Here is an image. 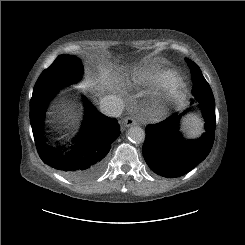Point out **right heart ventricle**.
I'll use <instances>...</instances> for the list:
<instances>
[{"label":"right heart ventricle","instance_id":"right-heart-ventricle-1","mask_svg":"<svg viewBox=\"0 0 245 245\" xmlns=\"http://www.w3.org/2000/svg\"><path fill=\"white\" fill-rule=\"evenodd\" d=\"M174 75L173 74H164L162 76H160L157 80L158 84L162 85V86H169L173 81H174ZM135 84H144L147 81L144 78L141 77H137L133 79Z\"/></svg>","mask_w":245,"mask_h":245}]
</instances>
